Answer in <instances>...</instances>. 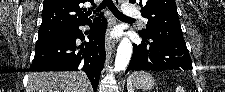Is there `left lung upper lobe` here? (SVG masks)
Segmentation results:
<instances>
[{"instance_id": "5c2ea615", "label": "left lung upper lobe", "mask_w": 225, "mask_h": 92, "mask_svg": "<svg viewBox=\"0 0 225 92\" xmlns=\"http://www.w3.org/2000/svg\"><path fill=\"white\" fill-rule=\"evenodd\" d=\"M136 0H130L135 3ZM142 16L148 19L143 36H166L184 40L175 0H140Z\"/></svg>"}]
</instances>
